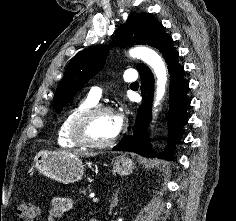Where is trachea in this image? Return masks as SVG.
Masks as SVG:
<instances>
[{
  "mask_svg": "<svg viewBox=\"0 0 236 221\" xmlns=\"http://www.w3.org/2000/svg\"><path fill=\"white\" fill-rule=\"evenodd\" d=\"M133 85H138V82H134V83H132Z\"/></svg>",
  "mask_w": 236,
  "mask_h": 221,
  "instance_id": "3493384b",
  "label": "trachea"
}]
</instances>
